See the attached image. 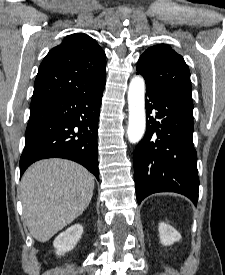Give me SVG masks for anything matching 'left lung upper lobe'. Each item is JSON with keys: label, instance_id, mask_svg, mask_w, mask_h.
<instances>
[{"label": "left lung upper lobe", "instance_id": "left-lung-upper-lobe-1", "mask_svg": "<svg viewBox=\"0 0 225 275\" xmlns=\"http://www.w3.org/2000/svg\"><path fill=\"white\" fill-rule=\"evenodd\" d=\"M137 73L144 77L147 86L193 106L189 68L170 46L159 44L148 48L139 58Z\"/></svg>", "mask_w": 225, "mask_h": 275}]
</instances>
